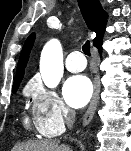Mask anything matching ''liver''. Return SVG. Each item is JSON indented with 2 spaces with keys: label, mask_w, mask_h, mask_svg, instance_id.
Wrapping results in <instances>:
<instances>
[{
  "label": "liver",
  "mask_w": 131,
  "mask_h": 151,
  "mask_svg": "<svg viewBox=\"0 0 131 151\" xmlns=\"http://www.w3.org/2000/svg\"><path fill=\"white\" fill-rule=\"evenodd\" d=\"M13 151H71L66 144H59L56 140H37L19 144Z\"/></svg>",
  "instance_id": "6515ba94"
}]
</instances>
